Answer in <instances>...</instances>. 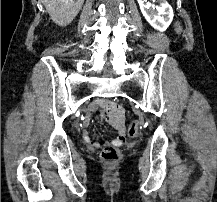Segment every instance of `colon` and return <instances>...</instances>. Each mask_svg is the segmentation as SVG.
Masks as SVG:
<instances>
[{
    "label": "colon",
    "instance_id": "5ec220e1",
    "mask_svg": "<svg viewBox=\"0 0 217 202\" xmlns=\"http://www.w3.org/2000/svg\"><path fill=\"white\" fill-rule=\"evenodd\" d=\"M98 114H99L98 117L99 120H104L105 118L104 113H98ZM137 127H138V122L134 121L129 128V132H128L129 137H134L135 135L138 134ZM101 158L103 159V161L107 163H116L121 158V152L117 147L107 146L102 150Z\"/></svg>",
    "mask_w": 217,
    "mask_h": 202
}]
</instances>
